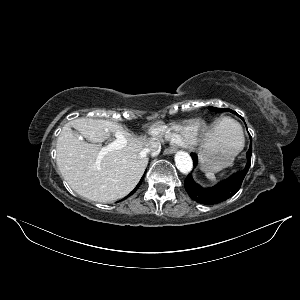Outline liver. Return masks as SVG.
I'll list each match as a JSON object with an SVG mask.
<instances>
[{
  "mask_svg": "<svg viewBox=\"0 0 300 300\" xmlns=\"http://www.w3.org/2000/svg\"><path fill=\"white\" fill-rule=\"evenodd\" d=\"M71 127L92 143L80 140ZM116 134L125 138V147L108 152L97 164L101 143ZM228 137L225 127L219 124L207 134L204 147L214 146ZM148 143L131 136L116 122L75 119L63 127L57 139V166L64 180L79 195L95 202H113L128 195L141 179L147 160L138 158V154Z\"/></svg>",
  "mask_w": 300,
  "mask_h": 300,
  "instance_id": "liver-1",
  "label": "liver"
}]
</instances>
